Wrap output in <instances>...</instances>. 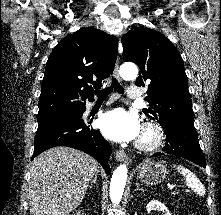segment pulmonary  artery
Returning <instances> with one entry per match:
<instances>
[{
	"label": "pulmonary artery",
	"instance_id": "pulmonary-artery-1",
	"mask_svg": "<svg viewBox=\"0 0 221 215\" xmlns=\"http://www.w3.org/2000/svg\"><path fill=\"white\" fill-rule=\"evenodd\" d=\"M127 95L131 99H137L141 96V91L138 87L136 86H131L127 90Z\"/></svg>",
	"mask_w": 221,
	"mask_h": 215
}]
</instances>
